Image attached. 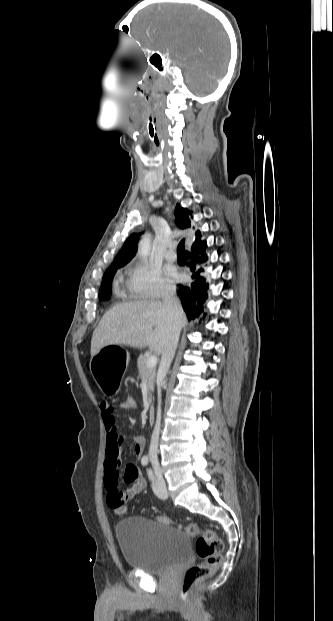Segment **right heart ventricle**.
<instances>
[{
  "label": "right heart ventricle",
  "mask_w": 333,
  "mask_h": 621,
  "mask_svg": "<svg viewBox=\"0 0 333 621\" xmlns=\"http://www.w3.org/2000/svg\"><path fill=\"white\" fill-rule=\"evenodd\" d=\"M118 294L122 297H127V296L130 297V295L129 294L127 295L124 291H119Z\"/></svg>",
  "instance_id": "e07e8e85"
}]
</instances>
